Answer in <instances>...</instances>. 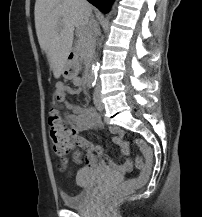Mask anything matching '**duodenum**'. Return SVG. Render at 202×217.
Segmentation results:
<instances>
[{
	"label": "duodenum",
	"instance_id": "obj_1",
	"mask_svg": "<svg viewBox=\"0 0 202 217\" xmlns=\"http://www.w3.org/2000/svg\"><path fill=\"white\" fill-rule=\"evenodd\" d=\"M68 58H69L70 63L68 65V67H67V70L69 72H74L75 69H76V61H77L75 52L74 51H70L69 54H68ZM86 78H87V82L88 83L92 82V80H91V74L90 73H87Z\"/></svg>",
	"mask_w": 202,
	"mask_h": 217
}]
</instances>
